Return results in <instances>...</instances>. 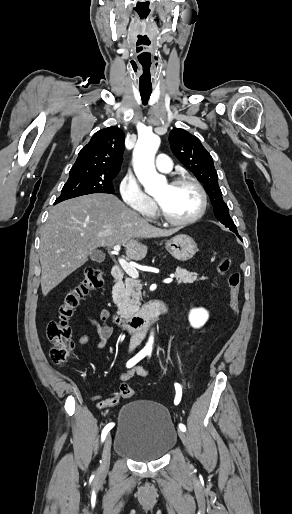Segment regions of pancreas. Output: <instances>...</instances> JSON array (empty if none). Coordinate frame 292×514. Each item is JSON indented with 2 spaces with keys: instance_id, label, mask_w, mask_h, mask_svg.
<instances>
[{
  "instance_id": "pancreas-1",
  "label": "pancreas",
  "mask_w": 292,
  "mask_h": 514,
  "mask_svg": "<svg viewBox=\"0 0 292 514\" xmlns=\"http://www.w3.org/2000/svg\"><path fill=\"white\" fill-rule=\"evenodd\" d=\"M175 278L178 280V284H193L195 280H198V274L195 272H187L182 268H176ZM199 280H206V278H199ZM117 292L114 298L115 304L118 306V314L122 318H131L139 308V300L141 296V284L138 280L133 278H126L125 286L116 284Z\"/></svg>"
}]
</instances>
